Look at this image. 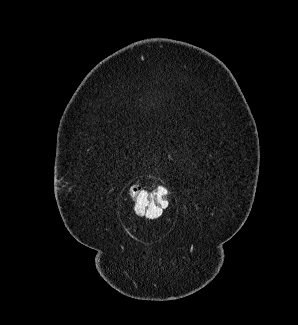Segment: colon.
<instances>
[{
  "mask_svg": "<svg viewBox=\"0 0 298 325\" xmlns=\"http://www.w3.org/2000/svg\"><path fill=\"white\" fill-rule=\"evenodd\" d=\"M130 196L134 212L137 215L154 218L160 215L163 205L167 203V190L163 187L145 189L141 186L133 187Z\"/></svg>",
  "mask_w": 298,
  "mask_h": 325,
  "instance_id": "5ec220e1",
  "label": "colon"
}]
</instances>
